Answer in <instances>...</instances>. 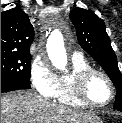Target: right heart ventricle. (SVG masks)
Masks as SVG:
<instances>
[{
	"instance_id": "right-heart-ventricle-1",
	"label": "right heart ventricle",
	"mask_w": 122,
	"mask_h": 123,
	"mask_svg": "<svg viewBox=\"0 0 122 123\" xmlns=\"http://www.w3.org/2000/svg\"><path fill=\"white\" fill-rule=\"evenodd\" d=\"M92 68L91 64L83 57H72V70L67 74L57 77V87L54 98L61 104L72 107L86 106L73 94L75 77L82 71Z\"/></svg>"
}]
</instances>
